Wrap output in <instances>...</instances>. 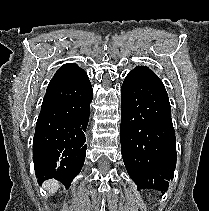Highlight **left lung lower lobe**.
<instances>
[{
    "mask_svg": "<svg viewBox=\"0 0 209 211\" xmlns=\"http://www.w3.org/2000/svg\"><path fill=\"white\" fill-rule=\"evenodd\" d=\"M122 158L137 189L168 190L176 166L171 107L162 81L146 66L121 87Z\"/></svg>",
    "mask_w": 209,
    "mask_h": 211,
    "instance_id": "obj_1",
    "label": "left lung lower lobe"
}]
</instances>
